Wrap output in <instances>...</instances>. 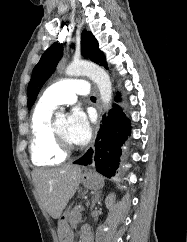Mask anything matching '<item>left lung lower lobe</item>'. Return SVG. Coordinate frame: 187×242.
Segmentation results:
<instances>
[{
    "mask_svg": "<svg viewBox=\"0 0 187 242\" xmlns=\"http://www.w3.org/2000/svg\"><path fill=\"white\" fill-rule=\"evenodd\" d=\"M120 101L119 97L115 98ZM130 134L128 118L118 105H113L107 119L98 131L93 149H89L84 156L73 162L79 165H90L104 176L111 178L119 168L121 146Z\"/></svg>",
    "mask_w": 187,
    "mask_h": 242,
    "instance_id": "0a47b994",
    "label": "left lung lower lobe"
}]
</instances>
